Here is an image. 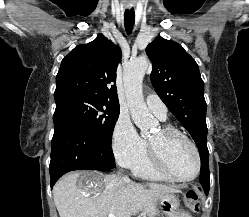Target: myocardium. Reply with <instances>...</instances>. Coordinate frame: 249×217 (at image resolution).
I'll return each instance as SVG.
<instances>
[{
	"instance_id": "myocardium-1",
	"label": "myocardium",
	"mask_w": 249,
	"mask_h": 217,
	"mask_svg": "<svg viewBox=\"0 0 249 217\" xmlns=\"http://www.w3.org/2000/svg\"><path fill=\"white\" fill-rule=\"evenodd\" d=\"M161 133L163 134V136L167 138L180 137V138H183L185 141H187L194 152V155L196 158V168H195L194 173L191 176L186 177V178H182V177H178L174 175L167 165L163 152L157 146L149 142L148 152H149L151 163L154 166V168L159 173H161L163 176H165L167 179L171 181L189 182V181L194 180L201 170V156H200L199 149L197 145L195 144V142L186 133L174 127H164L161 129Z\"/></svg>"
}]
</instances>
